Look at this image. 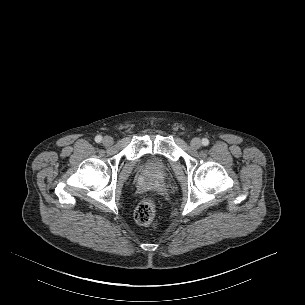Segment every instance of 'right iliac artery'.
<instances>
[{
	"label": "right iliac artery",
	"mask_w": 305,
	"mask_h": 305,
	"mask_svg": "<svg viewBox=\"0 0 305 305\" xmlns=\"http://www.w3.org/2000/svg\"><path fill=\"white\" fill-rule=\"evenodd\" d=\"M95 141H96L97 143L101 142V141H102V137H101L100 135L96 136V137H95Z\"/></svg>",
	"instance_id": "82829eb1"
}]
</instances>
